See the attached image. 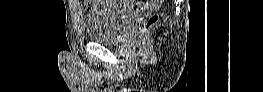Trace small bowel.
Masks as SVG:
<instances>
[{
	"label": "small bowel",
	"mask_w": 263,
	"mask_h": 92,
	"mask_svg": "<svg viewBox=\"0 0 263 92\" xmlns=\"http://www.w3.org/2000/svg\"><path fill=\"white\" fill-rule=\"evenodd\" d=\"M154 2H158V1H154ZM73 3L75 4V8L78 9L79 8V2L73 1ZM86 4H89V2H87Z\"/></svg>",
	"instance_id": "small-bowel-1"
}]
</instances>
